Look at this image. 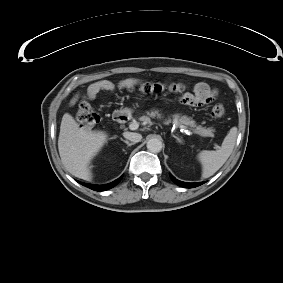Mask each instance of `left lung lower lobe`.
<instances>
[{
    "instance_id": "obj_1",
    "label": "left lung lower lobe",
    "mask_w": 283,
    "mask_h": 283,
    "mask_svg": "<svg viewBox=\"0 0 283 283\" xmlns=\"http://www.w3.org/2000/svg\"><path fill=\"white\" fill-rule=\"evenodd\" d=\"M171 179L179 186L185 187V188H192V187H197L201 185L204 182H198V183H187V182H182L177 180L174 176L170 174Z\"/></svg>"
}]
</instances>
